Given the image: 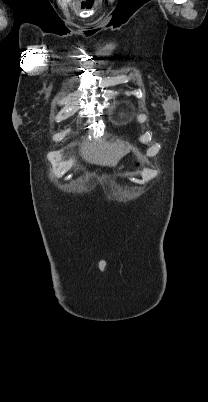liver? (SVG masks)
I'll list each match as a JSON object with an SVG mask.
<instances>
[{"label": "liver", "mask_w": 208, "mask_h": 402, "mask_svg": "<svg viewBox=\"0 0 208 402\" xmlns=\"http://www.w3.org/2000/svg\"><path fill=\"white\" fill-rule=\"evenodd\" d=\"M132 150V146L126 142H105V140H100V142H86L84 146H81V156L89 162V164H97V166H110L114 168L117 162L128 154Z\"/></svg>", "instance_id": "liver-1"}]
</instances>
